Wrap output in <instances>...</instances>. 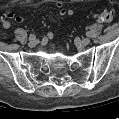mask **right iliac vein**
<instances>
[{"instance_id":"1","label":"right iliac vein","mask_w":119,"mask_h":119,"mask_svg":"<svg viewBox=\"0 0 119 119\" xmlns=\"http://www.w3.org/2000/svg\"><path fill=\"white\" fill-rule=\"evenodd\" d=\"M36 45H37V40L36 39L30 40L29 43H28V46L31 47V48H34Z\"/></svg>"}]
</instances>
